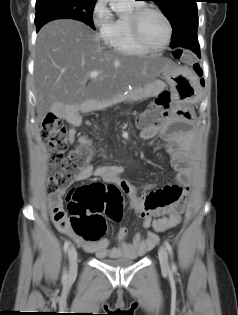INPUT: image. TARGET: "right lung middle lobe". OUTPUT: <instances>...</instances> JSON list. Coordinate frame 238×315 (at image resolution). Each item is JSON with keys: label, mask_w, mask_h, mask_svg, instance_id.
Returning a JSON list of instances; mask_svg holds the SVG:
<instances>
[{"label": "right lung middle lobe", "mask_w": 238, "mask_h": 315, "mask_svg": "<svg viewBox=\"0 0 238 315\" xmlns=\"http://www.w3.org/2000/svg\"><path fill=\"white\" fill-rule=\"evenodd\" d=\"M96 0H37L36 26L54 19L69 18L84 22L95 29L92 14Z\"/></svg>", "instance_id": "right-lung-middle-lobe-1"}]
</instances>
